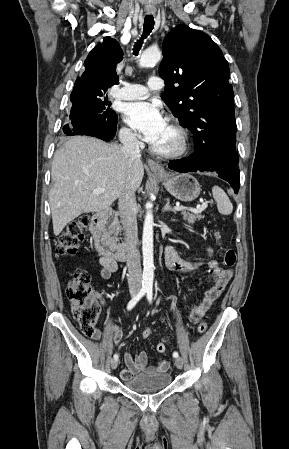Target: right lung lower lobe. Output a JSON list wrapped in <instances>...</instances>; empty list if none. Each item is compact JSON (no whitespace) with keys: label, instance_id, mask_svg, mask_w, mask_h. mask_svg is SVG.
Masks as SVG:
<instances>
[{"label":"right lung lower lobe","instance_id":"98d812e1","mask_svg":"<svg viewBox=\"0 0 289 449\" xmlns=\"http://www.w3.org/2000/svg\"><path fill=\"white\" fill-rule=\"evenodd\" d=\"M76 95V90H73L71 97L73 98ZM66 126H64L65 128ZM67 127H70L67 125ZM63 128V129H64ZM117 128V122L115 125L108 126V127H101L98 126L92 122H82L76 124V127H70V136L72 135H87V136H94L97 138H100L105 141H109L114 138Z\"/></svg>","mask_w":289,"mask_h":449}]
</instances>
